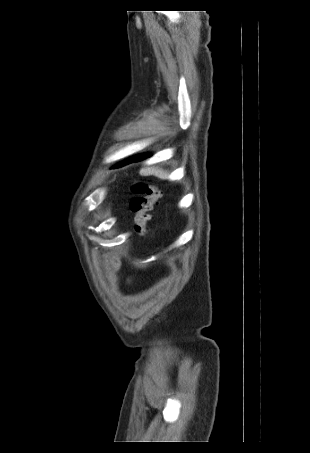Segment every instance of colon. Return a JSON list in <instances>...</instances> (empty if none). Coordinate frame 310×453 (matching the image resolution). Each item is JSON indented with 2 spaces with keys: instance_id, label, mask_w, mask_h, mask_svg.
Segmentation results:
<instances>
[{
  "instance_id": "1",
  "label": "colon",
  "mask_w": 310,
  "mask_h": 453,
  "mask_svg": "<svg viewBox=\"0 0 310 453\" xmlns=\"http://www.w3.org/2000/svg\"><path fill=\"white\" fill-rule=\"evenodd\" d=\"M132 192L134 197L130 207L134 213V229L139 236L145 237L149 232L151 212L159 203L162 192L157 186L143 181L136 182L132 186Z\"/></svg>"
}]
</instances>
